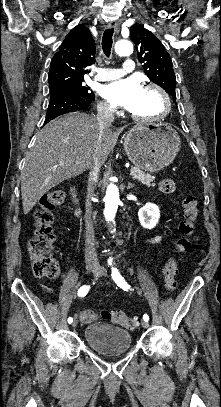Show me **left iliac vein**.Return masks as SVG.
<instances>
[{"label": "left iliac vein", "mask_w": 221, "mask_h": 407, "mask_svg": "<svg viewBox=\"0 0 221 407\" xmlns=\"http://www.w3.org/2000/svg\"><path fill=\"white\" fill-rule=\"evenodd\" d=\"M97 273L101 274L104 277H107V272L102 269L100 266H97ZM141 325L144 329L149 328V323L145 320H142Z\"/></svg>", "instance_id": "4c4485c4"}]
</instances>
